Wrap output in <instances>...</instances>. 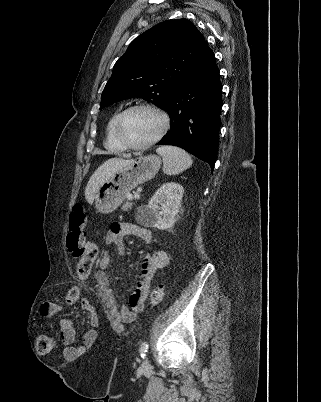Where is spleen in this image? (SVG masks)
<instances>
[{"label": "spleen", "instance_id": "3e777b00", "mask_svg": "<svg viewBox=\"0 0 321 402\" xmlns=\"http://www.w3.org/2000/svg\"><path fill=\"white\" fill-rule=\"evenodd\" d=\"M156 152L162 157L163 172L167 175H176L188 169L193 161L191 156L181 148L175 146H161Z\"/></svg>", "mask_w": 321, "mask_h": 402}]
</instances>
